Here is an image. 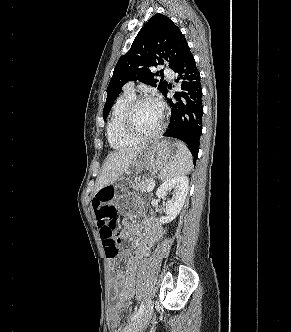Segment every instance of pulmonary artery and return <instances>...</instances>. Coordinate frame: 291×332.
I'll return each instance as SVG.
<instances>
[{"instance_id": "obj_1", "label": "pulmonary artery", "mask_w": 291, "mask_h": 332, "mask_svg": "<svg viewBox=\"0 0 291 332\" xmlns=\"http://www.w3.org/2000/svg\"><path fill=\"white\" fill-rule=\"evenodd\" d=\"M164 71H165V73H166L167 76H169L170 78L173 77V72H172V70L166 68ZM125 90H126V91L134 92V84H133L132 82L127 83V84L125 85Z\"/></svg>"}]
</instances>
